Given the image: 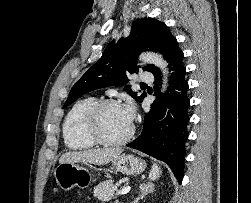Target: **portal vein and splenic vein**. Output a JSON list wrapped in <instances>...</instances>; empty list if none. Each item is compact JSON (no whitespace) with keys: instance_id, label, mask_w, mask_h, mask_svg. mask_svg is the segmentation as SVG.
I'll use <instances>...</instances> for the list:
<instances>
[{"instance_id":"1","label":"portal vein and splenic vein","mask_w":251,"mask_h":203,"mask_svg":"<svg viewBox=\"0 0 251 203\" xmlns=\"http://www.w3.org/2000/svg\"><path fill=\"white\" fill-rule=\"evenodd\" d=\"M130 190H131L130 186H125L119 191V194L121 195L127 194Z\"/></svg>"}]
</instances>
